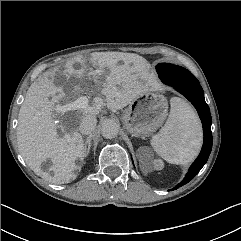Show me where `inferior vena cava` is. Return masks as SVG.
<instances>
[{
    "label": "inferior vena cava",
    "instance_id": "602c4592",
    "mask_svg": "<svg viewBox=\"0 0 241 241\" xmlns=\"http://www.w3.org/2000/svg\"><path fill=\"white\" fill-rule=\"evenodd\" d=\"M97 124L96 116L92 114L83 115L81 122L79 124V131L84 135L91 134V132L95 129Z\"/></svg>",
    "mask_w": 241,
    "mask_h": 241
}]
</instances>
